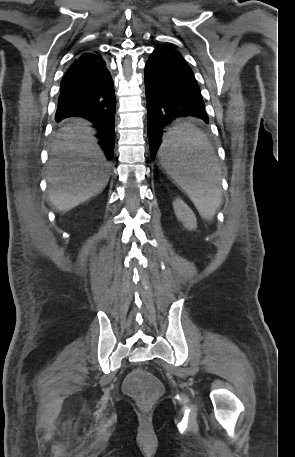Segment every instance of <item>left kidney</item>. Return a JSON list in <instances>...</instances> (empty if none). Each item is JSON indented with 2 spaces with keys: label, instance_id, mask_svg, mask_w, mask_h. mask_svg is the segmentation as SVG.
<instances>
[{
  "label": "left kidney",
  "instance_id": "5707ae66",
  "mask_svg": "<svg viewBox=\"0 0 295 457\" xmlns=\"http://www.w3.org/2000/svg\"><path fill=\"white\" fill-rule=\"evenodd\" d=\"M173 208L176 217L189 230H194L197 227V221L192 210L181 199H176L173 202Z\"/></svg>",
  "mask_w": 295,
  "mask_h": 457
}]
</instances>
